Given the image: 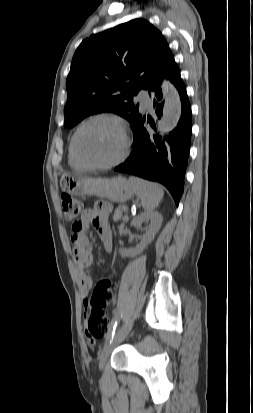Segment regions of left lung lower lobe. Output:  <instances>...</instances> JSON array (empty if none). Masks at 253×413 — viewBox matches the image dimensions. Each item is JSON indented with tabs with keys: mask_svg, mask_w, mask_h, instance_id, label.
I'll return each instance as SVG.
<instances>
[{
	"mask_svg": "<svg viewBox=\"0 0 253 413\" xmlns=\"http://www.w3.org/2000/svg\"><path fill=\"white\" fill-rule=\"evenodd\" d=\"M169 79L177 88L181 100V117L177 127L167 136L161 137L147 128L149 123L155 128L151 117L140 115L132 125L134 133L133 149L128 159L115 171L129 173L151 181L162 183L170 191L176 205L184 190V177L189 157L192 133L191 105L179 68L172 57L161 76L148 89L154 97L153 106L157 118L163 111L161 82Z\"/></svg>",
	"mask_w": 253,
	"mask_h": 413,
	"instance_id": "1",
	"label": "left lung lower lobe"
}]
</instances>
